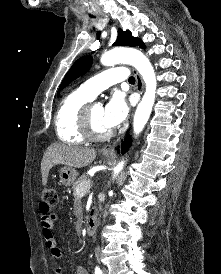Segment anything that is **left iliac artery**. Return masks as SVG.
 I'll list each match as a JSON object with an SVG mask.
<instances>
[{
    "label": "left iliac artery",
    "instance_id": "left-iliac-artery-1",
    "mask_svg": "<svg viewBox=\"0 0 221 274\" xmlns=\"http://www.w3.org/2000/svg\"><path fill=\"white\" fill-rule=\"evenodd\" d=\"M95 274H103L99 266L95 267Z\"/></svg>",
    "mask_w": 221,
    "mask_h": 274
}]
</instances>
